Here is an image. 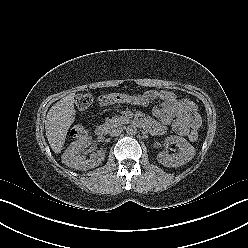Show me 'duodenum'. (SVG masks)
<instances>
[{
    "instance_id": "1",
    "label": "duodenum",
    "mask_w": 248,
    "mask_h": 248,
    "mask_svg": "<svg viewBox=\"0 0 248 248\" xmlns=\"http://www.w3.org/2000/svg\"><path fill=\"white\" fill-rule=\"evenodd\" d=\"M108 133V128L105 124H100L96 128V135L99 137H105Z\"/></svg>"
}]
</instances>
